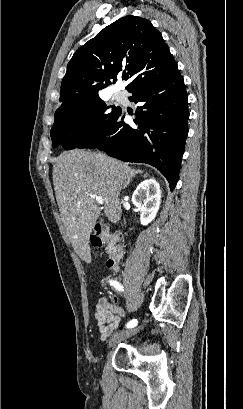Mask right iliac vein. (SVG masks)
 Listing matches in <instances>:
<instances>
[{
  "label": "right iliac vein",
  "instance_id": "1",
  "mask_svg": "<svg viewBox=\"0 0 243 409\" xmlns=\"http://www.w3.org/2000/svg\"><path fill=\"white\" fill-rule=\"evenodd\" d=\"M138 331H139V329L135 328V329L123 330V331L115 333L110 339L109 347H112L115 344H117L118 342L123 341V340L131 337L132 335L136 334Z\"/></svg>",
  "mask_w": 243,
  "mask_h": 409
}]
</instances>
